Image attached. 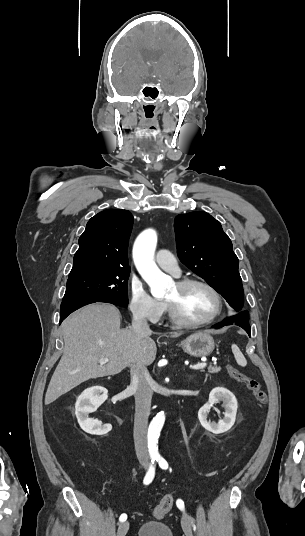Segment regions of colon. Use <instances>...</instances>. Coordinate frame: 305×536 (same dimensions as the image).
<instances>
[{
	"mask_svg": "<svg viewBox=\"0 0 305 536\" xmlns=\"http://www.w3.org/2000/svg\"><path fill=\"white\" fill-rule=\"evenodd\" d=\"M226 372L231 379L244 384L253 393L256 401L259 404L266 403L267 392L262 388L257 379L245 374L232 365L226 366ZM173 503V495L171 493L164 494L159 503L153 509V515L158 518L165 516L172 509Z\"/></svg>",
	"mask_w": 305,
	"mask_h": 536,
	"instance_id": "colon-1",
	"label": "colon"
}]
</instances>
